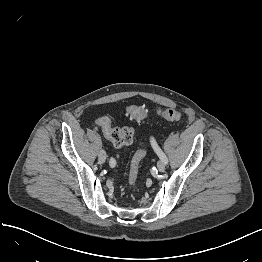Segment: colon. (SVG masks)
<instances>
[{
	"label": "colon",
	"mask_w": 262,
	"mask_h": 262,
	"mask_svg": "<svg viewBox=\"0 0 262 262\" xmlns=\"http://www.w3.org/2000/svg\"><path fill=\"white\" fill-rule=\"evenodd\" d=\"M127 112L131 118L138 121L148 118L151 114L149 110L138 105L128 106ZM156 115L170 121H180L182 119V114L174 108L159 109L156 111ZM98 124L109 141L117 148L131 143L134 138L135 130L133 127L114 128L111 126V120L108 117L100 118ZM146 153L147 148L144 147L139 150L133 158L128 177V187L130 189L134 188L137 183L140 164Z\"/></svg>",
	"instance_id": "1"
}]
</instances>
